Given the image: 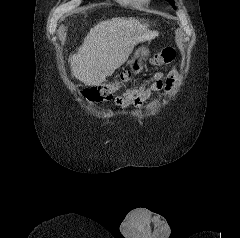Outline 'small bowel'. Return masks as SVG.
Masks as SVG:
<instances>
[{"label": "small bowel", "mask_w": 240, "mask_h": 238, "mask_svg": "<svg viewBox=\"0 0 240 238\" xmlns=\"http://www.w3.org/2000/svg\"><path fill=\"white\" fill-rule=\"evenodd\" d=\"M177 79V70L173 68L167 75L156 73L144 80L137 88L127 89L116 97L115 105L119 108L135 106L140 108L153 92L165 90L169 92Z\"/></svg>", "instance_id": "c3829d8e"}]
</instances>
